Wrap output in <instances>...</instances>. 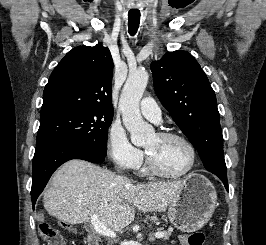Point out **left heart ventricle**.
Returning a JSON list of instances; mask_svg holds the SVG:
<instances>
[{
	"label": "left heart ventricle",
	"mask_w": 266,
	"mask_h": 245,
	"mask_svg": "<svg viewBox=\"0 0 266 245\" xmlns=\"http://www.w3.org/2000/svg\"><path fill=\"white\" fill-rule=\"evenodd\" d=\"M144 146L156 168L165 174H181L190 163L189 149L180 140L165 139L155 134Z\"/></svg>",
	"instance_id": "obj_1"
}]
</instances>
